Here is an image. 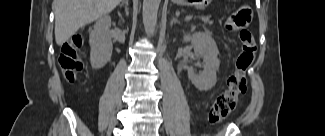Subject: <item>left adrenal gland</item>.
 Here are the masks:
<instances>
[{
    "label": "left adrenal gland",
    "instance_id": "1",
    "mask_svg": "<svg viewBox=\"0 0 325 136\" xmlns=\"http://www.w3.org/2000/svg\"><path fill=\"white\" fill-rule=\"evenodd\" d=\"M175 23H179L177 17H173L172 21H171V26Z\"/></svg>",
    "mask_w": 325,
    "mask_h": 136
}]
</instances>
